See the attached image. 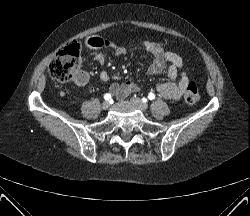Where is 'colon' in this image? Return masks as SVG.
<instances>
[{"label": "colon", "instance_id": "1", "mask_svg": "<svg viewBox=\"0 0 250 216\" xmlns=\"http://www.w3.org/2000/svg\"><path fill=\"white\" fill-rule=\"evenodd\" d=\"M82 59L78 44L61 49L49 65L50 76L59 82L69 81L81 68ZM199 90L194 82H190L184 93V100L194 104L199 100Z\"/></svg>", "mask_w": 250, "mask_h": 216}]
</instances>
